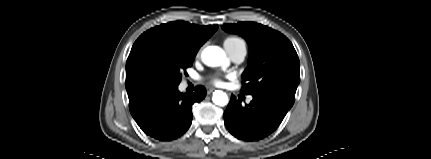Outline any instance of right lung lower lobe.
Returning <instances> with one entry per match:
<instances>
[{
    "label": "right lung lower lobe",
    "mask_w": 431,
    "mask_h": 159,
    "mask_svg": "<svg viewBox=\"0 0 431 159\" xmlns=\"http://www.w3.org/2000/svg\"><path fill=\"white\" fill-rule=\"evenodd\" d=\"M205 96L203 86L189 95L180 93L178 86L152 88L129 100V109L144 133L159 141H171L188 130L193 118L192 105Z\"/></svg>",
    "instance_id": "1"
}]
</instances>
